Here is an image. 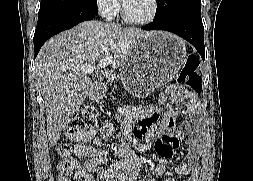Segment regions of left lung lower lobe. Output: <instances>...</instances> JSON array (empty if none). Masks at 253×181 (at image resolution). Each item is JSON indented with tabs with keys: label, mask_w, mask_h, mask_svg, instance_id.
Segmentation results:
<instances>
[{
	"label": "left lung lower lobe",
	"mask_w": 253,
	"mask_h": 181,
	"mask_svg": "<svg viewBox=\"0 0 253 181\" xmlns=\"http://www.w3.org/2000/svg\"><path fill=\"white\" fill-rule=\"evenodd\" d=\"M145 30L169 31L190 42L205 59L204 27L200 14H180L155 21L142 27Z\"/></svg>",
	"instance_id": "0a47b994"
}]
</instances>
